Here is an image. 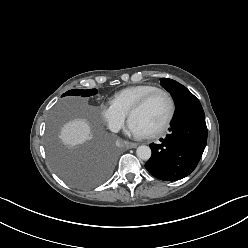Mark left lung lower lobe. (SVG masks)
Here are the masks:
<instances>
[{"label":"left lung lower lobe","mask_w":248,"mask_h":248,"mask_svg":"<svg viewBox=\"0 0 248 248\" xmlns=\"http://www.w3.org/2000/svg\"><path fill=\"white\" fill-rule=\"evenodd\" d=\"M206 143L205 114L191 93L176 106L170 133L159 144L150 145L152 155L145 167L161 180H180L195 169Z\"/></svg>","instance_id":"0a47b994"}]
</instances>
